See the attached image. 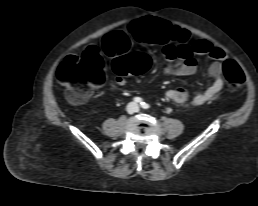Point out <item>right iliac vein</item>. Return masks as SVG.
I'll list each match as a JSON object with an SVG mask.
<instances>
[{
	"instance_id": "right-iliac-vein-1",
	"label": "right iliac vein",
	"mask_w": 258,
	"mask_h": 206,
	"mask_svg": "<svg viewBox=\"0 0 258 206\" xmlns=\"http://www.w3.org/2000/svg\"><path fill=\"white\" fill-rule=\"evenodd\" d=\"M128 112H130V113L132 112V107H130V108L128 109Z\"/></svg>"
}]
</instances>
